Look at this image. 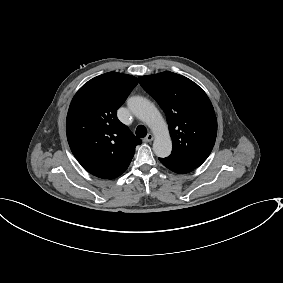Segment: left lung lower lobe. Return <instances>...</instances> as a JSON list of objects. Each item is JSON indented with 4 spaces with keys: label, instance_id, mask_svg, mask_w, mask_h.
<instances>
[{
    "label": "left lung lower lobe",
    "instance_id": "left-lung-lower-lobe-1",
    "mask_svg": "<svg viewBox=\"0 0 283 283\" xmlns=\"http://www.w3.org/2000/svg\"><path fill=\"white\" fill-rule=\"evenodd\" d=\"M160 162L167 167L168 169L172 170L175 173L178 174H185L193 171L195 168L183 165L180 163H176L173 161L168 160L167 158H159Z\"/></svg>",
    "mask_w": 283,
    "mask_h": 283
}]
</instances>
